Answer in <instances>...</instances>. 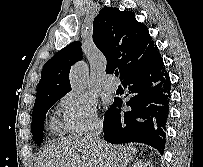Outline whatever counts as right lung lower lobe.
Returning a JSON list of instances; mask_svg holds the SVG:
<instances>
[{
  "instance_id": "1",
  "label": "right lung lower lobe",
  "mask_w": 203,
  "mask_h": 167,
  "mask_svg": "<svg viewBox=\"0 0 203 167\" xmlns=\"http://www.w3.org/2000/svg\"><path fill=\"white\" fill-rule=\"evenodd\" d=\"M128 88L130 111L116 109L122 99L115 98L105 114L104 139L122 144L141 142L163 153L166 142V125L169 114L170 78L162 58L153 65L128 74L122 80Z\"/></svg>"
}]
</instances>
